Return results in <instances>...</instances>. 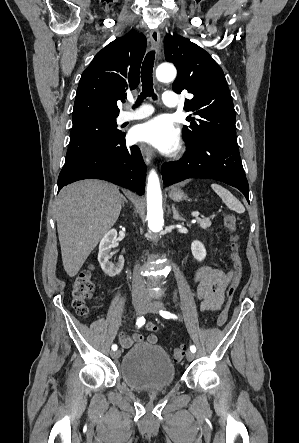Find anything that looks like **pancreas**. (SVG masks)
Returning <instances> with one entry per match:
<instances>
[{"label": "pancreas", "instance_id": "cf45deb5", "mask_svg": "<svg viewBox=\"0 0 299 443\" xmlns=\"http://www.w3.org/2000/svg\"><path fill=\"white\" fill-rule=\"evenodd\" d=\"M197 223L200 225L202 229H208L211 226V221L209 218H197Z\"/></svg>", "mask_w": 299, "mask_h": 443}]
</instances>
